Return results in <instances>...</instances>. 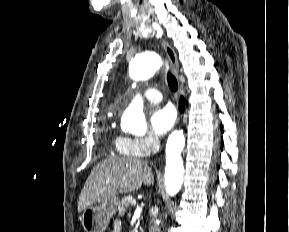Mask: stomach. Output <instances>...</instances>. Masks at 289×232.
I'll return each mask as SVG.
<instances>
[{"mask_svg": "<svg viewBox=\"0 0 289 232\" xmlns=\"http://www.w3.org/2000/svg\"><path fill=\"white\" fill-rule=\"evenodd\" d=\"M118 205L119 199L115 196L84 209L80 217L83 229L86 232H104Z\"/></svg>", "mask_w": 289, "mask_h": 232, "instance_id": "stomach-1", "label": "stomach"}]
</instances>
